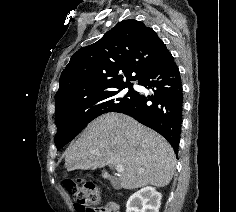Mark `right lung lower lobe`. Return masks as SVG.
Segmentation results:
<instances>
[{
	"label": "right lung lower lobe",
	"mask_w": 236,
	"mask_h": 212,
	"mask_svg": "<svg viewBox=\"0 0 236 212\" xmlns=\"http://www.w3.org/2000/svg\"><path fill=\"white\" fill-rule=\"evenodd\" d=\"M139 85L152 93L148 96L136 93L131 103L115 112L127 114L161 134L178 155L183 91L179 69L167 48L139 79Z\"/></svg>",
	"instance_id": "1"
}]
</instances>
